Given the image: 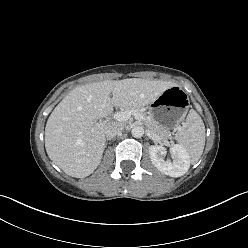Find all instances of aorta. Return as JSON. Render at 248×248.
I'll list each match as a JSON object with an SVG mask.
<instances>
[{"instance_id": "1", "label": "aorta", "mask_w": 248, "mask_h": 248, "mask_svg": "<svg viewBox=\"0 0 248 248\" xmlns=\"http://www.w3.org/2000/svg\"><path fill=\"white\" fill-rule=\"evenodd\" d=\"M132 136L135 138H141L144 135V128L142 126H135L133 127Z\"/></svg>"}]
</instances>
